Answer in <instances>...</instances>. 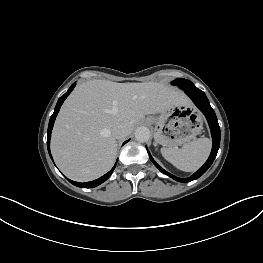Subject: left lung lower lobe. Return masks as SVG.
Listing matches in <instances>:
<instances>
[{
    "instance_id": "obj_1",
    "label": "left lung lower lobe",
    "mask_w": 263,
    "mask_h": 263,
    "mask_svg": "<svg viewBox=\"0 0 263 263\" xmlns=\"http://www.w3.org/2000/svg\"><path fill=\"white\" fill-rule=\"evenodd\" d=\"M185 93L192 99V101L195 103V105L205 115V117L208 121L210 130H211L213 145H212L211 154H210L208 160L206 161V163L197 172H195L192 176H190L188 178H178V177L171 175L170 173L165 171L163 168H161L154 161L150 152L147 149L151 161L162 173H164V174L168 175L169 177L173 178L174 180L182 182V183L190 182L192 180L199 178L201 175H203L208 170V168L211 166V164L213 163V161L217 155L219 146H220V127H219L218 120H217V117L215 115V112L212 109V107L210 106L209 101H208L205 93L203 91H201L200 89H198L197 87H195L193 89H185Z\"/></svg>"
}]
</instances>
